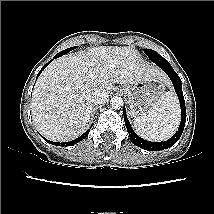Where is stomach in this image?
Returning <instances> with one entry per match:
<instances>
[{"mask_svg": "<svg viewBox=\"0 0 214 214\" xmlns=\"http://www.w3.org/2000/svg\"><path fill=\"white\" fill-rule=\"evenodd\" d=\"M164 90V81L159 78L142 80L120 88V91L127 96L128 110L133 117L140 116L153 107L164 94Z\"/></svg>", "mask_w": 214, "mask_h": 214, "instance_id": "1", "label": "stomach"}]
</instances>
